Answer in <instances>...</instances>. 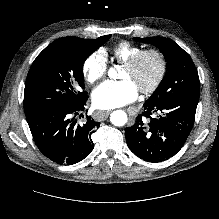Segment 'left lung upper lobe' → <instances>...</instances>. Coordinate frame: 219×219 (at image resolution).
I'll return each mask as SVG.
<instances>
[{"instance_id":"5c2ea615","label":"left lung upper lobe","mask_w":219,"mask_h":219,"mask_svg":"<svg viewBox=\"0 0 219 219\" xmlns=\"http://www.w3.org/2000/svg\"><path fill=\"white\" fill-rule=\"evenodd\" d=\"M138 42L158 47L167 61L170 72L165 76L148 102L163 103L175 97L200 93L199 76L189 54L168 38H134Z\"/></svg>"}]
</instances>
